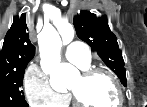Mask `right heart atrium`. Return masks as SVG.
Returning <instances> with one entry per match:
<instances>
[{"instance_id": "right-heart-atrium-1", "label": "right heart atrium", "mask_w": 147, "mask_h": 107, "mask_svg": "<svg viewBox=\"0 0 147 107\" xmlns=\"http://www.w3.org/2000/svg\"><path fill=\"white\" fill-rule=\"evenodd\" d=\"M28 103L34 107H60L67 103L68 95L56 92L47 75L35 64L28 67L23 79Z\"/></svg>"}]
</instances>
